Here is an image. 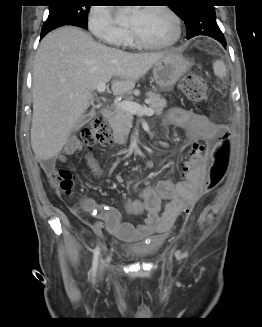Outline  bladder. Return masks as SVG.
<instances>
[{
    "mask_svg": "<svg viewBox=\"0 0 262 327\" xmlns=\"http://www.w3.org/2000/svg\"><path fill=\"white\" fill-rule=\"evenodd\" d=\"M164 243V240L160 241L158 244H154V242H138L127 246L125 250L136 260H148L164 245Z\"/></svg>",
    "mask_w": 262,
    "mask_h": 327,
    "instance_id": "obj_1",
    "label": "bladder"
}]
</instances>
